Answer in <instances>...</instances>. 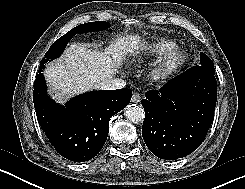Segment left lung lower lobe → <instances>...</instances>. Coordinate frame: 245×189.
Instances as JSON below:
<instances>
[{
    "instance_id": "left-lung-lower-lobe-1",
    "label": "left lung lower lobe",
    "mask_w": 245,
    "mask_h": 189,
    "mask_svg": "<svg viewBox=\"0 0 245 189\" xmlns=\"http://www.w3.org/2000/svg\"><path fill=\"white\" fill-rule=\"evenodd\" d=\"M215 72L194 66L146 92L141 100L145 119L142 135L157 157L176 160L196 150L204 141L214 118L217 100Z\"/></svg>"
}]
</instances>
